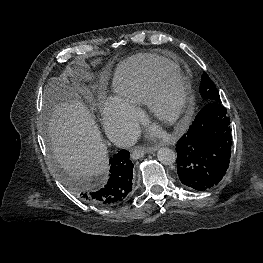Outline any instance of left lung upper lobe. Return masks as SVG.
Returning <instances> with one entry per match:
<instances>
[{
  "mask_svg": "<svg viewBox=\"0 0 263 263\" xmlns=\"http://www.w3.org/2000/svg\"><path fill=\"white\" fill-rule=\"evenodd\" d=\"M200 93L201 96L207 101V103L210 102L221 103L220 96L218 94V91L214 83L205 72H203L202 74V80L200 83Z\"/></svg>",
  "mask_w": 263,
  "mask_h": 263,
  "instance_id": "left-lung-upper-lobe-1",
  "label": "left lung upper lobe"
}]
</instances>
